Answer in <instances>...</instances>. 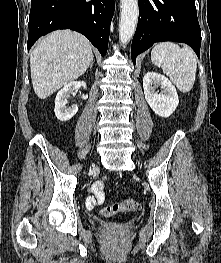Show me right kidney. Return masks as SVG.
<instances>
[{"instance_id":"1","label":"right kidney","mask_w":221,"mask_h":263,"mask_svg":"<svg viewBox=\"0 0 221 263\" xmlns=\"http://www.w3.org/2000/svg\"><path fill=\"white\" fill-rule=\"evenodd\" d=\"M83 87L86 89L87 85L83 81H73L66 84L56 95L55 98V108L54 112L58 120L68 121L70 120L78 111V106L73 105L72 107L67 108L66 104L68 103L67 99L74 90H78Z\"/></svg>"}]
</instances>
